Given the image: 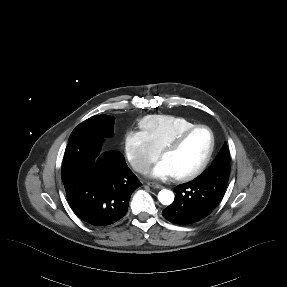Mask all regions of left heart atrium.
Masks as SVG:
<instances>
[{"mask_svg": "<svg viewBox=\"0 0 287 287\" xmlns=\"http://www.w3.org/2000/svg\"><path fill=\"white\" fill-rule=\"evenodd\" d=\"M149 175L154 177V178H160V179L172 176L168 166L166 165V163L163 160L157 162L149 170Z\"/></svg>", "mask_w": 287, "mask_h": 287, "instance_id": "left-heart-atrium-1", "label": "left heart atrium"}]
</instances>
